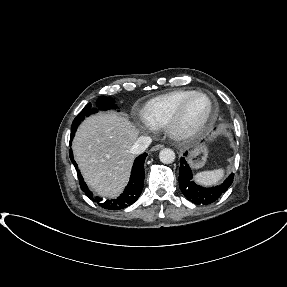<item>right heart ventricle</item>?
Masks as SVG:
<instances>
[{
    "label": "right heart ventricle",
    "instance_id": "right-heart-ventricle-1",
    "mask_svg": "<svg viewBox=\"0 0 287 287\" xmlns=\"http://www.w3.org/2000/svg\"><path fill=\"white\" fill-rule=\"evenodd\" d=\"M193 92L175 90L149 100L141 109L142 119L154 128L165 126L180 104Z\"/></svg>",
    "mask_w": 287,
    "mask_h": 287
}]
</instances>
